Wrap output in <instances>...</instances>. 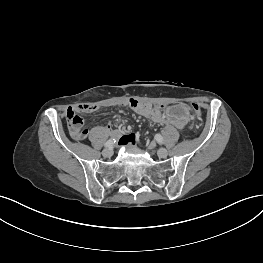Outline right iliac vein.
I'll use <instances>...</instances> for the list:
<instances>
[{
	"instance_id": "right-iliac-vein-1",
	"label": "right iliac vein",
	"mask_w": 263,
	"mask_h": 263,
	"mask_svg": "<svg viewBox=\"0 0 263 263\" xmlns=\"http://www.w3.org/2000/svg\"><path fill=\"white\" fill-rule=\"evenodd\" d=\"M102 155H103L104 157H111V156L113 155V151H112L111 148L104 149V150L102 151Z\"/></svg>"
}]
</instances>
